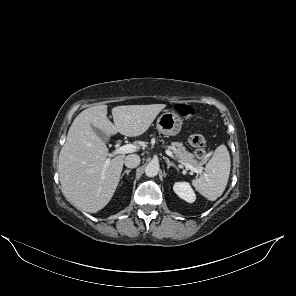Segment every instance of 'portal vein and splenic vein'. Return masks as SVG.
<instances>
[{
	"mask_svg": "<svg viewBox=\"0 0 296 296\" xmlns=\"http://www.w3.org/2000/svg\"><path fill=\"white\" fill-rule=\"evenodd\" d=\"M136 150H137V147L134 144H127V145H123V146L117 148L113 153L109 154V157L106 159V162H105V167L109 165L110 158L113 157L114 155L132 153V152H135ZM166 154L169 157H171L172 159H174V160L180 162L181 164H183L185 166V168L187 170H191L192 173H202V170L197 169V168L193 167L190 164L181 162L171 151L167 150Z\"/></svg>",
	"mask_w": 296,
	"mask_h": 296,
	"instance_id": "obj_1",
	"label": "portal vein and splenic vein"
}]
</instances>
